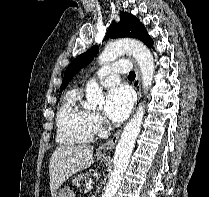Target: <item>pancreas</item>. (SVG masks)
I'll return each instance as SVG.
<instances>
[{"label":"pancreas","instance_id":"obj_1","mask_svg":"<svg viewBox=\"0 0 209 197\" xmlns=\"http://www.w3.org/2000/svg\"><path fill=\"white\" fill-rule=\"evenodd\" d=\"M89 176L90 175L88 173L79 174L74 177V179L72 180V184L77 187H81V183L84 181L86 182L89 179Z\"/></svg>","mask_w":209,"mask_h":197}]
</instances>
